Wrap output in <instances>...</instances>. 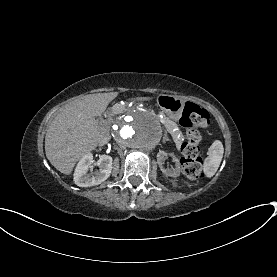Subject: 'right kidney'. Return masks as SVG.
<instances>
[{
    "label": "right kidney",
    "mask_w": 277,
    "mask_h": 277,
    "mask_svg": "<svg viewBox=\"0 0 277 277\" xmlns=\"http://www.w3.org/2000/svg\"><path fill=\"white\" fill-rule=\"evenodd\" d=\"M112 157L109 155H101L96 165L98 171L88 173L89 169H93L92 153L85 154L78 162L74 171V183L79 187H91L104 182L112 171Z\"/></svg>",
    "instance_id": "obj_1"
}]
</instances>
